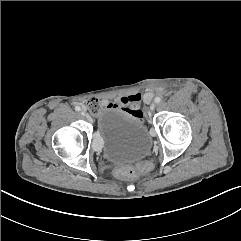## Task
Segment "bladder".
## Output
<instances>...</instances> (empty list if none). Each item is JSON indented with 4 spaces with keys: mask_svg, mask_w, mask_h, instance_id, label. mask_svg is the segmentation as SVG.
<instances>
[{
    "mask_svg": "<svg viewBox=\"0 0 241 241\" xmlns=\"http://www.w3.org/2000/svg\"><path fill=\"white\" fill-rule=\"evenodd\" d=\"M96 137L104 157L114 163L141 160L151 149V138L144 124L117 108L106 107L100 111Z\"/></svg>",
    "mask_w": 241,
    "mask_h": 241,
    "instance_id": "31cf9c89",
    "label": "bladder"
}]
</instances>
